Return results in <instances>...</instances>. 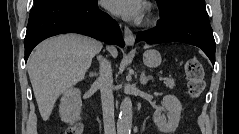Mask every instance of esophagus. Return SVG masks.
<instances>
[{"instance_id": "34e87169", "label": "esophagus", "mask_w": 239, "mask_h": 134, "mask_svg": "<svg viewBox=\"0 0 239 134\" xmlns=\"http://www.w3.org/2000/svg\"><path fill=\"white\" fill-rule=\"evenodd\" d=\"M124 41L127 46H133L135 42L133 32L128 28H124Z\"/></svg>"}]
</instances>
